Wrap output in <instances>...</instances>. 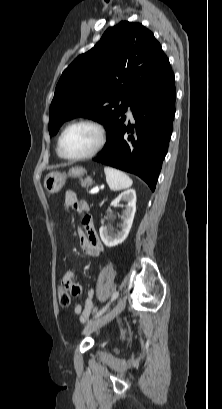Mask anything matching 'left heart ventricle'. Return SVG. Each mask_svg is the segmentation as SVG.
Instances as JSON below:
<instances>
[{
  "label": "left heart ventricle",
  "instance_id": "obj_1",
  "mask_svg": "<svg viewBox=\"0 0 222 409\" xmlns=\"http://www.w3.org/2000/svg\"><path fill=\"white\" fill-rule=\"evenodd\" d=\"M99 140L98 132L88 125H79L67 131L63 138V151L69 156L89 153Z\"/></svg>",
  "mask_w": 222,
  "mask_h": 409
}]
</instances>
